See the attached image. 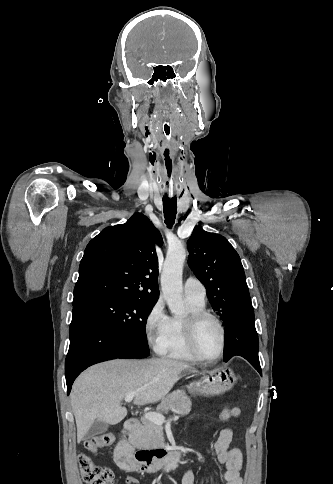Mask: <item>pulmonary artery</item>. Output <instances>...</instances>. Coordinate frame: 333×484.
Segmentation results:
<instances>
[{
  "label": "pulmonary artery",
  "instance_id": "obj_1",
  "mask_svg": "<svg viewBox=\"0 0 333 484\" xmlns=\"http://www.w3.org/2000/svg\"><path fill=\"white\" fill-rule=\"evenodd\" d=\"M184 293L187 298L205 302L206 290L204 285L194 277H188L184 282Z\"/></svg>",
  "mask_w": 333,
  "mask_h": 484
}]
</instances>
